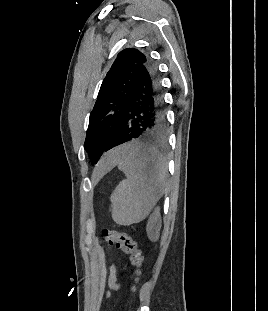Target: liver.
Listing matches in <instances>:
<instances>
[{
    "instance_id": "liver-1",
    "label": "liver",
    "mask_w": 268,
    "mask_h": 311,
    "mask_svg": "<svg viewBox=\"0 0 268 311\" xmlns=\"http://www.w3.org/2000/svg\"><path fill=\"white\" fill-rule=\"evenodd\" d=\"M116 150L109 152L105 158L100 162L97 171H102L115 164Z\"/></svg>"
}]
</instances>
